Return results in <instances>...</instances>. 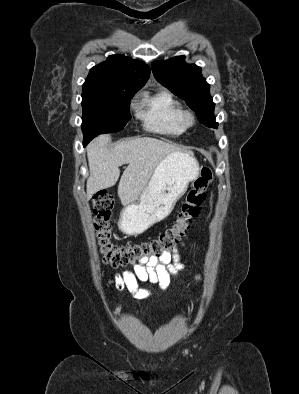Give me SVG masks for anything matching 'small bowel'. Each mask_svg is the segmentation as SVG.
Returning a JSON list of instances; mask_svg holds the SVG:
<instances>
[{
    "instance_id": "1",
    "label": "small bowel",
    "mask_w": 299,
    "mask_h": 394,
    "mask_svg": "<svg viewBox=\"0 0 299 394\" xmlns=\"http://www.w3.org/2000/svg\"><path fill=\"white\" fill-rule=\"evenodd\" d=\"M186 245L182 243V247ZM185 266L180 261L179 249L161 258H150L134 264L132 270L125 269L114 276L115 288L118 291L127 290L136 299H144L151 295L147 288L139 287L138 282L158 284L160 289L166 290L171 282Z\"/></svg>"
}]
</instances>
